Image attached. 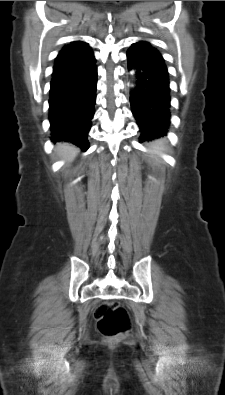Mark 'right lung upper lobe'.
<instances>
[{
  "mask_svg": "<svg viewBox=\"0 0 225 395\" xmlns=\"http://www.w3.org/2000/svg\"><path fill=\"white\" fill-rule=\"evenodd\" d=\"M91 48L83 41L64 46L55 59L53 73L81 68L94 60Z\"/></svg>",
  "mask_w": 225,
  "mask_h": 395,
  "instance_id": "right-lung-upper-lobe-1",
  "label": "right lung upper lobe"
}]
</instances>
